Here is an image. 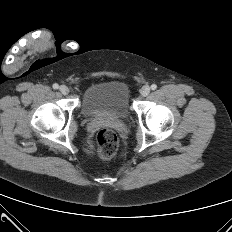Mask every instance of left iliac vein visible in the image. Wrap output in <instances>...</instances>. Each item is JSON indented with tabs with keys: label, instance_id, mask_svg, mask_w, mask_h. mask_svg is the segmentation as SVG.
I'll list each match as a JSON object with an SVG mask.
<instances>
[{
	"label": "left iliac vein",
	"instance_id": "4c4485c4",
	"mask_svg": "<svg viewBox=\"0 0 232 232\" xmlns=\"http://www.w3.org/2000/svg\"><path fill=\"white\" fill-rule=\"evenodd\" d=\"M150 93V87L148 85H145L141 88L140 94L143 97H146Z\"/></svg>",
	"mask_w": 232,
	"mask_h": 232
}]
</instances>
